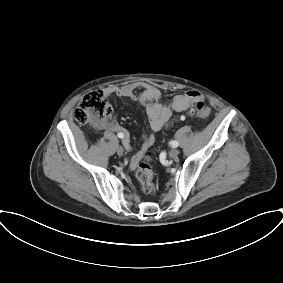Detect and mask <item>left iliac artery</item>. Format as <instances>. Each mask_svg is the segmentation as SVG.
<instances>
[{"label": "left iliac artery", "instance_id": "obj_1", "mask_svg": "<svg viewBox=\"0 0 283 283\" xmlns=\"http://www.w3.org/2000/svg\"><path fill=\"white\" fill-rule=\"evenodd\" d=\"M170 145L175 148V147H178L179 143L174 140L170 142Z\"/></svg>", "mask_w": 283, "mask_h": 283}]
</instances>
